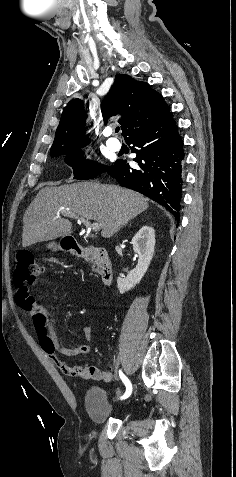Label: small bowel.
I'll return each mask as SVG.
<instances>
[{
	"mask_svg": "<svg viewBox=\"0 0 236 477\" xmlns=\"http://www.w3.org/2000/svg\"><path fill=\"white\" fill-rule=\"evenodd\" d=\"M22 309L31 316L32 326L42 350L60 371L68 376L78 379H91L104 382L111 381L112 371L110 366L104 370H100L98 367L89 364L74 366L66 363L59 357V355L75 357L89 354L91 352V345L89 342L92 340L91 327L83 326L81 329L87 343L82 344L77 348H69L63 345L57 338L54 324V313L52 311L45 309L32 296L27 300L26 307H23Z\"/></svg>",
	"mask_w": 236,
	"mask_h": 477,
	"instance_id": "c3829d8e",
	"label": "small bowel"
}]
</instances>
